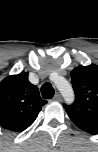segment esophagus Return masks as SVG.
Wrapping results in <instances>:
<instances>
[{"label":"esophagus","instance_id":"1","mask_svg":"<svg viewBox=\"0 0 98 152\" xmlns=\"http://www.w3.org/2000/svg\"><path fill=\"white\" fill-rule=\"evenodd\" d=\"M53 99H54V101H61L62 97H61L60 93H56Z\"/></svg>","mask_w":98,"mask_h":152}]
</instances>
